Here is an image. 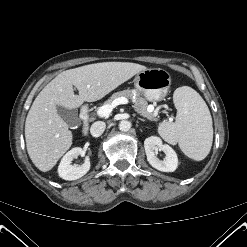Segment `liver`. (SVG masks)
Here are the masks:
<instances>
[{"label": "liver", "mask_w": 247, "mask_h": 247, "mask_svg": "<svg viewBox=\"0 0 247 247\" xmlns=\"http://www.w3.org/2000/svg\"><path fill=\"white\" fill-rule=\"evenodd\" d=\"M145 69L129 62L95 63L63 71L50 81L34 100L25 122L27 152L34 165L42 172L51 170L72 145V132L57 106L75 109L84 101H97Z\"/></svg>", "instance_id": "1"}]
</instances>
